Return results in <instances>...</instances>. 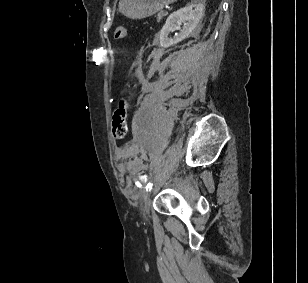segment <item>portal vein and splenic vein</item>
<instances>
[{"label":"portal vein and splenic vein","mask_w":308,"mask_h":283,"mask_svg":"<svg viewBox=\"0 0 308 283\" xmlns=\"http://www.w3.org/2000/svg\"><path fill=\"white\" fill-rule=\"evenodd\" d=\"M166 9H167V10H171V9H172V7H170V6H167V7H166Z\"/></svg>","instance_id":"1"}]
</instances>
